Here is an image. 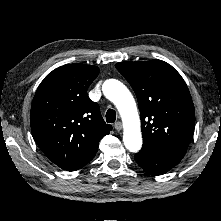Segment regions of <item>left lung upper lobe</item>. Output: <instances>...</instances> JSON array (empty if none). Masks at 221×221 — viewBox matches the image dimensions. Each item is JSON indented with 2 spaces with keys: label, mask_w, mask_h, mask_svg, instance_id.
I'll return each mask as SVG.
<instances>
[{
  "label": "left lung upper lobe",
  "mask_w": 221,
  "mask_h": 221,
  "mask_svg": "<svg viewBox=\"0 0 221 221\" xmlns=\"http://www.w3.org/2000/svg\"><path fill=\"white\" fill-rule=\"evenodd\" d=\"M116 68L138 99L143 147L183 158L195 124L194 105L183 78L157 59L120 62Z\"/></svg>",
  "instance_id": "left-lung-upper-lobe-1"
}]
</instances>
